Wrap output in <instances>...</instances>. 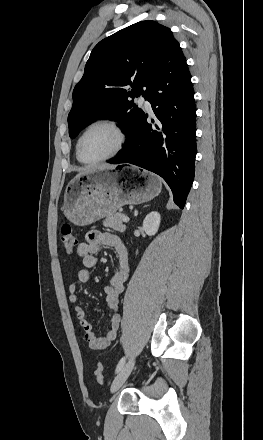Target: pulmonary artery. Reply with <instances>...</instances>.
I'll use <instances>...</instances> for the list:
<instances>
[{
	"mask_svg": "<svg viewBox=\"0 0 263 440\" xmlns=\"http://www.w3.org/2000/svg\"><path fill=\"white\" fill-rule=\"evenodd\" d=\"M138 101H139L140 104H143L144 107H145L147 110H149V111L152 110L149 101L147 100V98H146L144 95H141V96L139 97V100H138Z\"/></svg>",
	"mask_w": 263,
	"mask_h": 440,
	"instance_id": "obj_1",
	"label": "pulmonary artery"
}]
</instances>
